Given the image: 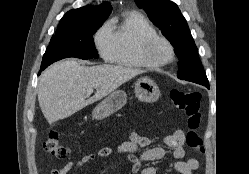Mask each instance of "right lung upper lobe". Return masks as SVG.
I'll return each instance as SVG.
<instances>
[{
  "instance_id": "1",
  "label": "right lung upper lobe",
  "mask_w": 249,
  "mask_h": 174,
  "mask_svg": "<svg viewBox=\"0 0 249 174\" xmlns=\"http://www.w3.org/2000/svg\"><path fill=\"white\" fill-rule=\"evenodd\" d=\"M112 6L108 2L98 7L84 6L68 11L60 20L57 31H66L85 26L92 22L105 21L110 15Z\"/></svg>"
}]
</instances>
